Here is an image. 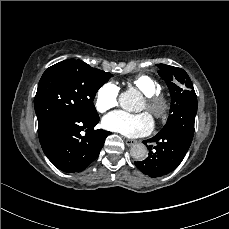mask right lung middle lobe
Wrapping results in <instances>:
<instances>
[{
	"instance_id": "right-lung-middle-lobe-1",
	"label": "right lung middle lobe",
	"mask_w": 229,
	"mask_h": 229,
	"mask_svg": "<svg viewBox=\"0 0 229 229\" xmlns=\"http://www.w3.org/2000/svg\"><path fill=\"white\" fill-rule=\"evenodd\" d=\"M110 77V73L75 59L49 67L39 81L34 101L38 134L61 116L99 118L92 102L98 89Z\"/></svg>"
}]
</instances>
